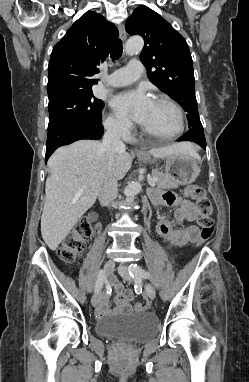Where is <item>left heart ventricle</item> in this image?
<instances>
[{"instance_id": "obj_1", "label": "left heart ventricle", "mask_w": 249, "mask_h": 382, "mask_svg": "<svg viewBox=\"0 0 249 382\" xmlns=\"http://www.w3.org/2000/svg\"><path fill=\"white\" fill-rule=\"evenodd\" d=\"M142 126L156 135H172L178 128L176 112L168 104L154 101Z\"/></svg>"}]
</instances>
